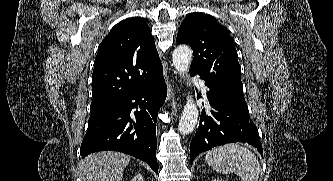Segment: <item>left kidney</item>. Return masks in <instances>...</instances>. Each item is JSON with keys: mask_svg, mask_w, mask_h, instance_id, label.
Masks as SVG:
<instances>
[{"mask_svg": "<svg viewBox=\"0 0 333 181\" xmlns=\"http://www.w3.org/2000/svg\"><path fill=\"white\" fill-rule=\"evenodd\" d=\"M212 181H224V180H222V179H214V180H212Z\"/></svg>", "mask_w": 333, "mask_h": 181, "instance_id": "obj_1", "label": "left kidney"}]
</instances>
